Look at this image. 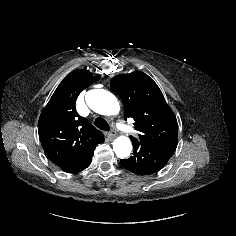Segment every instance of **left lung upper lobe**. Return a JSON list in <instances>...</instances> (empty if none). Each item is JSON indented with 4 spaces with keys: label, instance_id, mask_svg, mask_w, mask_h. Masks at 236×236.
Here are the masks:
<instances>
[{
    "label": "left lung upper lobe",
    "instance_id": "left-lung-upper-lobe-1",
    "mask_svg": "<svg viewBox=\"0 0 236 236\" xmlns=\"http://www.w3.org/2000/svg\"><path fill=\"white\" fill-rule=\"evenodd\" d=\"M112 89L124 105V118H133L134 128L143 144H177L178 124L176 116L166 103L157 84L145 73L131 72L115 76Z\"/></svg>",
    "mask_w": 236,
    "mask_h": 236
}]
</instances>
